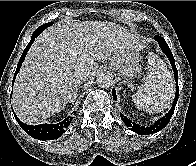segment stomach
<instances>
[{"mask_svg":"<svg viewBox=\"0 0 196 166\" xmlns=\"http://www.w3.org/2000/svg\"><path fill=\"white\" fill-rule=\"evenodd\" d=\"M112 64L125 78H133L141 72L140 55L137 50L127 49L116 54Z\"/></svg>","mask_w":196,"mask_h":166,"instance_id":"1","label":"stomach"}]
</instances>
